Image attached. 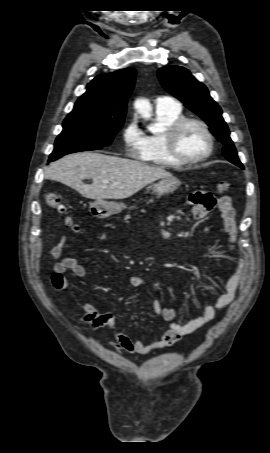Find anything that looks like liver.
Listing matches in <instances>:
<instances>
[{
    "instance_id": "liver-1",
    "label": "liver",
    "mask_w": 270,
    "mask_h": 453,
    "mask_svg": "<svg viewBox=\"0 0 270 453\" xmlns=\"http://www.w3.org/2000/svg\"><path fill=\"white\" fill-rule=\"evenodd\" d=\"M171 176L162 167L94 152L69 154L52 163L45 172L47 179L96 200L124 199L158 179ZM84 179H92V184H84Z\"/></svg>"
}]
</instances>
